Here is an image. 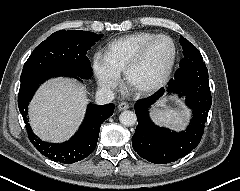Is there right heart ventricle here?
I'll return each instance as SVG.
<instances>
[{"instance_id":"e07e8e85","label":"right heart ventricle","mask_w":240,"mask_h":191,"mask_svg":"<svg viewBox=\"0 0 240 191\" xmlns=\"http://www.w3.org/2000/svg\"><path fill=\"white\" fill-rule=\"evenodd\" d=\"M155 35L152 32H137L115 39L108 44L106 55L113 66L123 72L140 48Z\"/></svg>"}]
</instances>
